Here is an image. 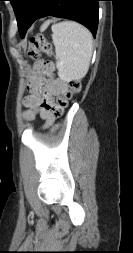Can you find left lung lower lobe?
<instances>
[{
  "label": "left lung lower lobe",
  "instance_id": "0a47b994",
  "mask_svg": "<svg viewBox=\"0 0 133 253\" xmlns=\"http://www.w3.org/2000/svg\"><path fill=\"white\" fill-rule=\"evenodd\" d=\"M98 1L101 0H25L17 16L23 38L32 23L45 16L75 20L95 36L98 26Z\"/></svg>",
  "mask_w": 133,
  "mask_h": 253
}]
</instances>
